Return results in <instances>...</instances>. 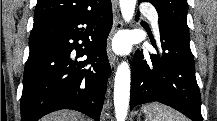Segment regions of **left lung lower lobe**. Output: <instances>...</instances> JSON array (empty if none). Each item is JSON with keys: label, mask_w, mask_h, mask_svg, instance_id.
Wrapping results in <instances>:
<instances>
[{"label": "left lung lower lobe", "mask_w": 217, "mask_h": 121, "mask_svg": "<svg viewBox=\"0 0 217 121\" xmlns=\"http://www.w3.org/2000/svg\"><path fill=\"white\" fill-rule=\"evenodd\" d=\"M159 31L163 52L145 59L143 51H137L133 58L130 107L133 109L140 104L160 102L193 121H202L190 37L161 19ZM152 44L157 49L155 41Z\"/></svg>", "instance_id": "1"}]
</instances>
